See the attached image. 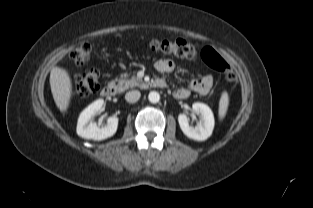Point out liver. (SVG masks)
<instances>
[{"instance_id": "1", "label": "liver", "mask_w": 313, "mask_h": 208, "mask_svg": "<svg viewBox=\"0 0 313 208\" xmlns=\"http://www.w3.org/2000/svg\"><path fill=\"white\" fill-rule=\"evenodd\" d=\"M50 86L54 101L61 112L67 111L72 94V82L68 72L53 67L50 72Z\"/></svg>"}]
</instances>
